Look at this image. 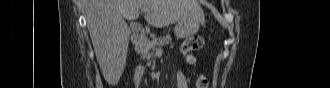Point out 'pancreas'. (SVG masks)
Listing matches in <instances>:
<instances>
[{"label":"pancreas","mask_w":330,"mask_h":88,"mask_svg":"<svg viewBox=\"0 0 330 88\" xmlns=\"http://www.w3.org/2000/svg\"><path fill=\"white\" fill-rule=\"evenodd\" d=\"M172 38L169 34L160 37H153L151 40H145L140 47V54L143 58L151 60L155 57L154 51L157 47H163L166 44L171 43Z\"/></svg>","instance_id":"obj_1"}]
</instances>
